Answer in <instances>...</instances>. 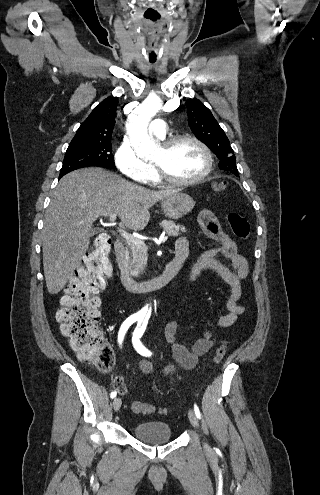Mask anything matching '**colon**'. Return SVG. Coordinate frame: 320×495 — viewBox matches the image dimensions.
<instances>
[{"instance_id":"colon-1","label":"colon","mask_w":320,"mask_h":495,"mask_svg":"<svg viewBox=\"0 0 320 495\" xmlns=\"http://www.w3.org/2000/svg\"><path fill=\"white\" fill-rule=\"evenodd\" d=\"M227 186L228 183L223 181L216 185L215 190L220 193ZM227 220L234 236L241 240L248 238L250 225L243 215L231 212L227 215ZM110 250L111 243L107 237L102 236L95 241L93 249L85 257L83 267L67 285L61 307L56 314L62 334L70 339L73 350L102 371L108 370L114 363V351L110 345L103 343L98 326V294L106 287L113 271ZM225 354L226 342L223 341L216 349L214 361L220 363ZM114 388L121 394L125 393L121 378L115 380ZM131 409L134 413L150 414L155 407L142 401H134Z\"/></svg>"}]
</instances>
